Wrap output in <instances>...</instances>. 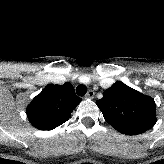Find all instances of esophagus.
Here are the masks:
<instances>
[{
  "instance_id": "34e87169",
  "label": "esophagus",
  "mask_w": 164,
  "mask_h": 164,
  "mask_svg": "<svg viewBox=\"0 0 164 164\" xmlns=\"http://www.w3.org/2000/svg\"><path fill=\"white\" fill-rule=\"evenodd\" d=\"M94 95H95V93H94V91L93 90H89L88 92H87V94H86V98H89V99H93L94 98Z\"/></svg>"
}]
</instances>
